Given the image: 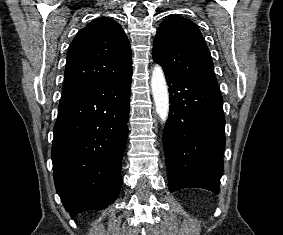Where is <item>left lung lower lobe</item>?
Returning <instances> with one entry per match:
<instances>
[{"mask_svg":"<svg viewBox=\"0 0 283 235\" xmlns=\"http://www.w3.org/2000/svg\"><path fill=\"white\" fill-rule=\"evenodd\" d=\"M170 111L163 144L170 192L220 191L225 146L223 99L217 84L165 72Z\"/></svg>","mask_w":283,"mask_h":235,"instance_id":"left-lung-lower-lobe-1","label":"left lung lower lobe"}]
</instances>
